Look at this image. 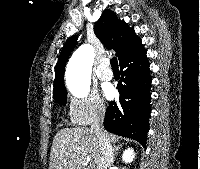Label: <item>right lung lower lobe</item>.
I'll return each mask as SVG.
<instances>
[{
	"label": "right lung lower lobe",
	"instance_id": "right-lung-lower-lobe-1",
	"mask_svg": "<svg viewBox=\"0 0 200 169\" xmlns=\"http://www.w3.org/2000/svg\"><path fill=\"white\" fill-rule=\"evenodd\" d=\"M121 80L117 85L118 102L106 110L104 127L107 131L137 140L146 147L150 109V77L146 51L120 64Z\"/></svg>",
	"mask_w": 200,
	"mask_h": 169
}]
</instances>
